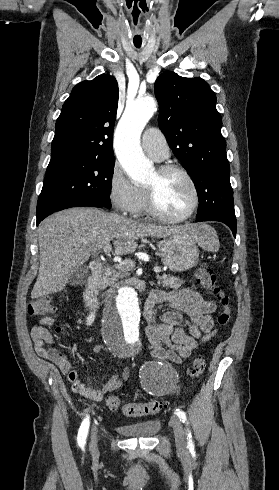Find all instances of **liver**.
<instances>
[{
  "label": "liver",
  "instance_id": "obj_1",
  "mask_svg": "<svg viewBox=\"0 0 279 490\" xmlns=\"http://www.w3.org/2000/svg\"><path fill=\"white\" fill-rule=\"evenodd\" d=\"M205 224L192 226H156L128 220L118 214H107L98 208H70L52 214L38 230L40 266L31 298H45L64 290L76 266H84L100 250L109 252L111 240L115 254H133L138 238H164L183 234L198 242Z\"/></svg>",
  "mask_w": 279,
  "mask_h": 490
}]
</instances>
